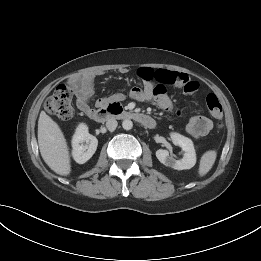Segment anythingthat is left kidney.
<instances>
[{
    "mask_svg": "<svg viewBox=\"0 0 261 261\" xmlns=\"http://www.w3.org/2000/svg\"><path fill=\"white\" fill-rule=\"evenodd\" d=\"M171 140L174 145H178L184 151V156L180 160L174 159L169 152L164 149L156 151L157 159L165 166L176 170L191 169L196 163V153L191 139L179 134L171 133Z\"/></svg>",
    "mask_w": 261,
    "mask_h": 261,
    "instance_id": "5707ae66",
    "label": "left kidney"
}]
</instances>
